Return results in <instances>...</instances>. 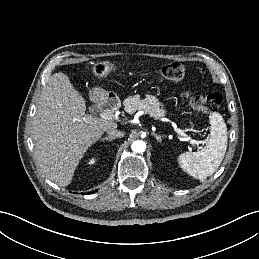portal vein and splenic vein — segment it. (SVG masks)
I'll return each instance as SVG.
<instances>
[{
  "mask_svg": "<svg viewBox=\"0 0 259 259\" xmlns=\"http://www.w3.org/2000/svg\"><path fill=\"white\" fill-rule=\"evenodd\" d=\"M100 117L104 120H110L112 121L114 119V114L111 111H104L100 114ZM175 131L180 134L182 137L185 138L186 141H189L193 146L198 144V142L194 139H192L190 136H188L183 130L181 129H175Z\"/></svg>",
  "mask_w": 259,
  "mask_h": 259,
  "instance_id": "1",
  "label": "portal vein and splenic vein"
}]
</instances>
